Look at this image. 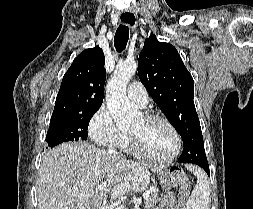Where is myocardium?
<instances>
[{
  "label": "myocardium",
  "mask_w": 253,
  "mask_h": 209,
  "mask_svg": "<svg viewBox=\"0 0 253 209\" xmlns=\"http://www.w3.org/2000/svg\"><path fill=\"white\" fill-rule=\"evenodd\" d=\"M143 118L147 121L157 120V121L164 122L171 129V131L174 134L175 148H174L173 152L170 155H168L167 157H163V158L155 157L151 154H148L142 148L140 140L137 138V136L130 132L132 147H133L134 151L136 152V154L139 155L140 157H142L143 159H146L148 161H152L155 163H160V164L168 163V162H171L172 160H174L178 156V154L180 153L181 146H182V139H181L180 133L177 130L176 126L167 117L160 115V114H156V113H144Z\"/></svg>",
  "instance_id": "myocardium-1"
}]
</instances>
